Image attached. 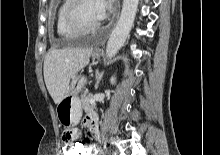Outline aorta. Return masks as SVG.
I'll list each match as a JSON object with an SVG mask.
<instances>
[{
  "label": "aorta",
  "mask_w": 220,
  "mask_h": 155,
  "mask_svg": "<svg viewBox=\"0 0 220 155\" xmlns=\"http://www.w3.org/2000/svg\"><path fill=\"white\" fill-rule=\"evenodd\" d=\"M139 0H123L122 11L106 47L108 58L114 57L123 46L133 26Z\"/></svg>",
  "instance_id": "1"
}]
</instances>
